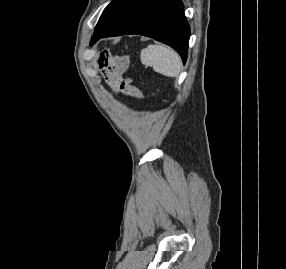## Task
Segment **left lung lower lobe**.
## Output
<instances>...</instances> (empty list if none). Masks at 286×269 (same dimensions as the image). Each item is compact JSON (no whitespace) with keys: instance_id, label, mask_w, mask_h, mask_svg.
<instances>
[{"instance_id":"obj_1","label":"left lung lower lobe","mask_w":286,"mask_h":269,"mask_svg":"<svg viewBox=\"0 0 286 269\" xmlns=\"http://www.w3.org/2000/svg\"><path fill=\"white\" fill-rule=\"evenodd\" d=\"M140 34L174 48L186 62L190 27L181 0H143L110 28L95 34L91 44L102 37Z\"/></svg>"}]
</instances>
